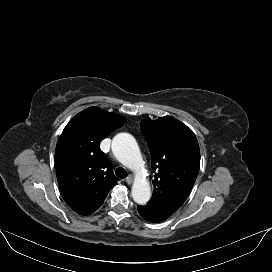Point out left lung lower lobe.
Here are the masks:
<instances>
[{"label": "left lung lower lobe", "instance_id": "1", "mask_svg": "<svg viewBox=\"0 0 272 272\" xmlns=\"http://www.w3.org/2000/svg\"><path fill=\"white\" fill-rule=\"evenodd\" d=\"M138 212L147 221L157 223L166 220L168 217L156 212L148 206H138Z\"/></svg>", "mask_w": 272, "mask_h": 272}]
</instances>
